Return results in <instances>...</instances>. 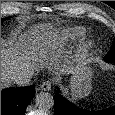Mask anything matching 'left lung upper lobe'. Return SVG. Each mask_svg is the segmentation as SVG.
I'll return each mask as SVG.
<instances>
[{"instance_id":"1","label":"left lung upper lobe","mask_w":115,"mask_h":115,"mask_svg":"<svg viewBox=\"0 0 115 115\" xmlns=\"http://www.w3.org/2000/svg\"><path fill=\"white\" fill-rule=\"evenodd\" d=\"M106 62H115V40L112 44L111 50L109 53L104 57Z\"/></svg>"}]
</instances>
